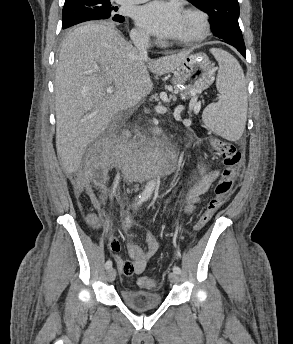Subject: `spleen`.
<instances>
[{
  "label": "spleen",
  "instance_id": "1",
  "mask_svg": "<svg viewBox=\"0 0 293 344\" xmlns=\"http://www.w3.org/2000/svg\"><path fill=\"white\" fill-rule=\"evenodd\" d=\"M219 64L216 87L220 93L217 103L205 108L203 122L215 134L236 141L245 129L247 93L243 70L234 56L222 49H211Z\"/></svg>",
  "mask_w": 293,
  "mask_h": 344
}]
</instances>
